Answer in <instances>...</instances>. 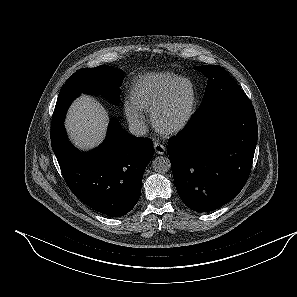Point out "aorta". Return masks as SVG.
Wrapping results in <instances>:
<instances>
[{
	"label": "aorta",
	"mask_w": 297,
	"mask_h": 297,
	"mask_svg": "<svg viewBox=\"0 0 297 297\" xmlns=\"http://www.w3.org/2000/svg\"><path fill=\"white\" fill-rule=\"evenodd\" d=\"M153 169L158 173H165L170 170L171 163L169 158L158 156L152 161Z\"/></svg>",
	"instance_id": "762f6f07"
}]
</instances>
